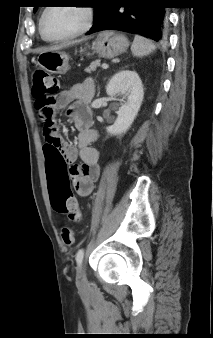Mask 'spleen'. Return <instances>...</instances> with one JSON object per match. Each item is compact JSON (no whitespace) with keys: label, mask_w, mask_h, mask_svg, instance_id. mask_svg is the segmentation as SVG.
I'll return each instance as SVG.
<instances>
[{"label":"spleen","mask_w":213,"mask_h":338,"mask_svg":"<svg viewBox=\"0 0 213 338\" xmlns=\"http://www.w3.org/2000/svg\"><path fill=\"white\" fill-rule=\"evenodd\" d=\"M156 50V46L142 36L135 35L134 41L131 46V52L136 57H144L150 55Z\"/></svg>","instance_id":"1"}]
</instances>
